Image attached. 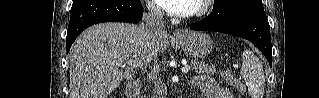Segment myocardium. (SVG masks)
Masks as SVG:
<instances>
[{
    "instance_id": "obj_1",
    "label": "myocardium",
    "mask_w": 319,
    "mask_h": 98,
    "mask_svg": "<svg viewBox=\"0 0 319 98\" xmlns=\"http://www.w3.org/2000/svg\"><path fill=\"white\" fill-rule=\"evenodd\" d=\"M210 0H198L195 1L192 11L189 13V16L200 17L204 15L209 7Z\"/></svg>"
}]
</instances>
